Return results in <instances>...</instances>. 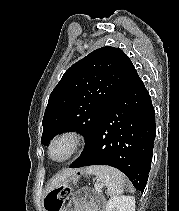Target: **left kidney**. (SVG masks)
Segmentation results:
<instances>
[{
	"mask_svg": "<svg viewBox=\"0 0 179 211\" xmlns=\"http://www.w3.org/2000/svg\"><path fill=\"white\" fill-rule=\"evenodd\" d=\"M105 211H135V198L133 196L111 197Z\"/></svg>",
	"mask_w": 179,
	"mask_h": 211,
	"instance_id": "left-kidney-1",
	"label": "left kidney"
}]
</instances>
